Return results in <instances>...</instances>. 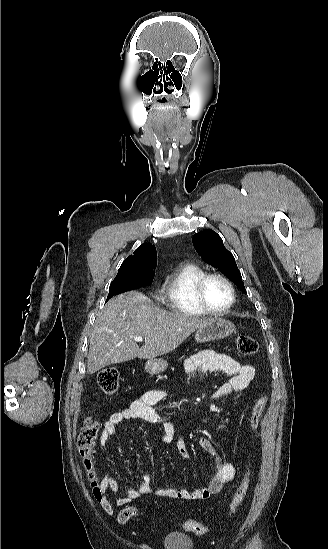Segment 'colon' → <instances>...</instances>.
Returning a JSON list of instances; mask_svg holds the SVG:
<instances>
[{
  "label": "colon",
  "instance_id": "obj_1",
  "mask_svg": "<svg viewBox=\"0 0 328 549\" xmlns=\"http://www.w3.org/2000/svg\"><path fill=\"white\" fill-rule=\"evenodd\" d=\"M236 345L238 351L245 356L253 355L258 350V344L251 336L246 334H239L236 339ZM97 383L100 389L107 395L114 394L119 387V376L114 369H104L99 372L97 377ZM267 404V398L265 396L260 397L254 404L249 419V428L251 432H255L264 409ZM98 435V424L88 419L82 426L78 435V450L81 458L83 459L84 466L87 470L89 481L93 489V494L97 500L101 498V490L97 482V476L95 472V465L93 461V449L95 441ZM251 479V470L248 468L244 473L236 492L234 493L230 507V515H234L241 507L245 496L248 492ZM137 514V508L133 505L125 506L117 516V520L120 524H127ZM181 526L194 534L202 535L207 532V527L203 523L186 519L181 522Z\"/></svg>",
  "mask_w": 328,
  "mask_h": 549
}]
</instances>
